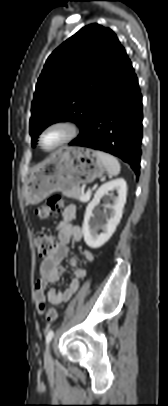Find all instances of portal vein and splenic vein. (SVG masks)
Segmentation results:
<instances>
[{
    "instance_id": "portal-vein-and-splenic-vein-1",
    "label": "portal vein and splenic vein",
    "mask_w": 168,
    "mask_h": 406,
    "mask_svg": "<svg viewBox=\"0 0 168 406\" xmlns=\"http://www.w3.org/2000/svg\"><path fill=\"white\" fill-rule=\"evenodd\" d=\"M91 196V190L88 189L87 193L82 197L83 201H88Z\"/></svg>"
}]
</instances>
